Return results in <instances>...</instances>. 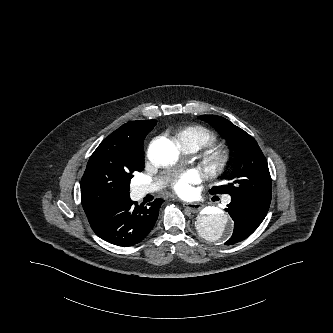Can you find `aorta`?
Returning a JSON list of instances; mask_svg holds the SVG:
<instances>
[{
  "label": "aorta",
  "instance_id": "obj_1",
  "mask_svg": "<svg viewBox=\"0 0 333 333\" xmlns=\"http://www.w3.org/2000/svg\"><path fill=\"white\" fill-rule=\"evenodd\" d=\"M177 148L168 140H156L148 149L149 160L155 164H169L178 158ZM199 233L206 239L224 241L231 234L230 220L225 212H202L197 221Z\"/></svg>",
  "mask_w": 333,
  "mask_h": 333
}]
</instances>
